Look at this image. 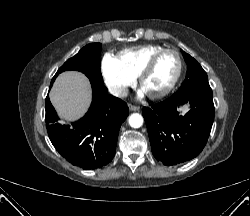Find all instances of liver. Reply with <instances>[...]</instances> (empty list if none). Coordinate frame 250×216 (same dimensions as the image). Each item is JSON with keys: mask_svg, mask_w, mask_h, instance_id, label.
Masks as SVG:
<instances>
[{"mask_svg": "<svg viewBox=\"0 0 250 216\" xmlns=\"http://www.w3.org/2000/svg\"><path fill=\"white\" fill-rule=\"evenodd\" d=\"M50 98L62 117L66 119L78 118L86 111L90 103V83L79 72H64L56 79Z\"/></svg>", "mask_w": 250, "mask_h": 216, "instance_id": "6515ba94", "label": "liver"}]
</instances>
